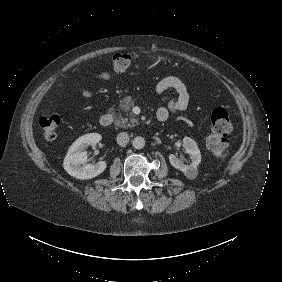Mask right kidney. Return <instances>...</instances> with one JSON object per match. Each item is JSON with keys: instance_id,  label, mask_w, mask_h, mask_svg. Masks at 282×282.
Wrapping results in <instances>:
<instances>
[{"instance_id": "right-kidney-1", "label": "right kidney", "mask_w": 282, "mask_h": 282, "mask_svg": "<svg viewBox=\"0 0 282 282\" xmlns=\"http://www.w3.org/2000/svg\"><path fill=\"white\" fill-rule=\"evenodd\" d=\"M101 139L97 133L86 134L77 139L69 148L63 162L66 172L73 178L89 180L102 174L106 167V161H99L95 165L81 166L87 160L89 146L96 145Z\"/></svg>"}]
</instances>
